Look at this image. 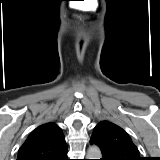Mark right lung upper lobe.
<instances>
[{
    "instance_id": "obj_1",
    "label": "right lung upper lobe",
    "mask_w": 160,
    "mask_h": 160,
    "mask_svg": "<svg viewBox=\"0 0 160 160\" xmlns=\"http://www.w3.org/2000/svg\"><path fill=\"white\" fill-rule=\"evenodd\" d=\"M67 152L60 127L46 123L33 130L18 152L17 160H59Z\"/></svg>"
}]
</instances>
